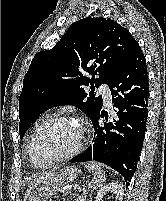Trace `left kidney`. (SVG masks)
<instances>
[{
	"label": "left kidney",
	"mask_w": 166,
	"mask_h": 201,
	"mask_svg": "<svg viewBox=\"0 0 166 201\" xmlns=\"http://www.w3.org/2000/svg\"><path fill=\"white\" fill-rule=\"evenodd\" d=\"M111 192L115 195V201H122L124 195V188L122 184L118 182H111L108 185L104 186L100 189L97 194L95 201H102L103 197L108 193Z\"/></svg>",
	"instance_id": "left-kidney-1"
}]
</instances>
